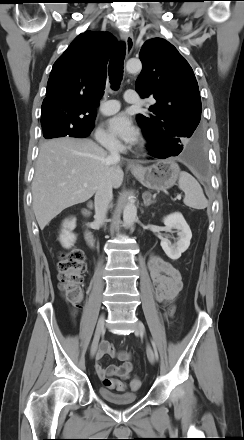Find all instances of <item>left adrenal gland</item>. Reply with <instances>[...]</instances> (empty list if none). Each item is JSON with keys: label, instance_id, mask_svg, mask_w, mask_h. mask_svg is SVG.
Instances as JSON below:
<instances>
[{"label": "left adrenal gland", "instance_id": "left-adrenal-gland-1", "mask_svg": "<svg viewBox=\"0 0 244 440\" xmlns=\"http://www.w3.org/2000/svg\"><path fill=\"white\" fill-rule=\"evenodd\" d=\"M142 197H143V201H144V206L145 207H148L151 204L155 203V201L151 199V194L150 193H145Z\"/></svg>", "mask_w": 244, "mask_h": 440}]
</instances>
